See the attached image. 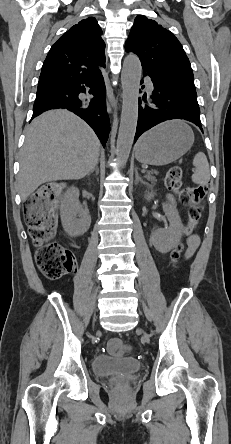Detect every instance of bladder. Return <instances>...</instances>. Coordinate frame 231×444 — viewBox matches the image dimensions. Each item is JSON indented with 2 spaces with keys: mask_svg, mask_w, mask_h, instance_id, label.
Segmentation results:
<instances>
[{
  "mask_svg": "<svg viewBox=\"0 0 231 444\" xmlns=\"http://www.w3.org/2000/svg\"><path fill=\"white\" fill-rule=\"evenodd\" d=\"M92 369L98 376H107L114 373L130 374L140 371L142 364L136 360L115 358L99 353L93 358Z\"/></svg>",
  "mask_w": 231,
  "mask_h": 444,
  "instance_id": "1",
  "label": "bladder"
}]
</instances>
